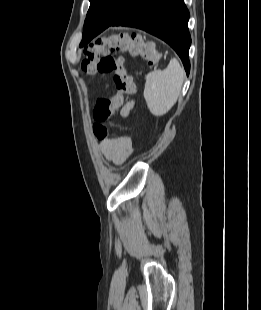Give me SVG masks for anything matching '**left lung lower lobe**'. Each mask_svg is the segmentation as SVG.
<instances>
[{"label": "left lung lower lobe", "instance_id": "obj_1", "mask_svg": "<svg viewBox=\"0 0 261 310\" xmlns=\"http://www.w3.org/2000/svg\"><path fill=\"white\" fill-rule=\"evenodd\" d=\"M189 11L184 0H125L117 15L105 22L84 23L80 47L109 26H128L145 30L168 43L181 58L187 75L191 37L188 31Z\"/></svg>", "mask_w": 261, "mask_h": 310}]
</instances>
